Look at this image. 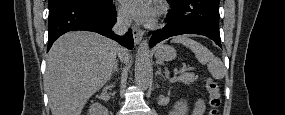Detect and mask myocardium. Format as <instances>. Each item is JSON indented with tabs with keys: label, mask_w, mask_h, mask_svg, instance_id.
Wrapping results in <instances>:
<instances>
[{
	"label": "myocardium",
	"mask_w": 285,
	"mask_h": 115,
	"mask_svg": "<svg viewBox=\"0 0 285 115\" xmlns=\"http://www.w3.org/2000/svg\"><path fill=\"white\" fill-rule=\"evenodd\" d=\"M162 10H163V9L161 8V9H160V13H161Z\"/></svg>",
	"instance_id": "myocardium-1"
}]
</instances>
